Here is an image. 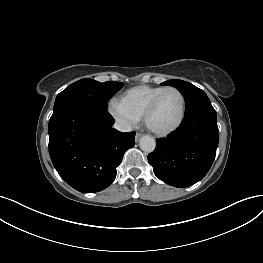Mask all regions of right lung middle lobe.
<instances>
[{
	"instance_id": "1",
	"label": "right lung middle lobe",
	"mask_w": 263,
	"mask_h": 263,
	"mask_svg": "<svg viewBox=\"0 0 263 263\" xmlns=\"http://www.w3.org/2000/svg\"><path fill=\"white\" fill-rule=\"evenodd\" d=\"M123 86V83L108 81L100 83L90 78L79 80L56 97L54 112L71 105L89 106L107 110V101Z\"/></svg>"
}]
</instances>
